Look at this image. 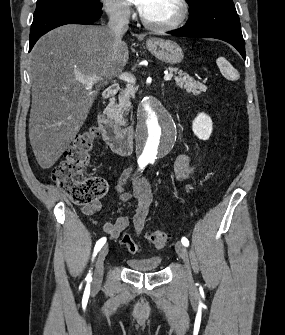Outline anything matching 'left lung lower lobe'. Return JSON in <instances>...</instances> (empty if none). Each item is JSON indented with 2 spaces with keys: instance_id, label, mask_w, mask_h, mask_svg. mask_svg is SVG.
Here are the masks:
<instances>
[{
  "instance_id": "left-lung-lower-lobe-1",
  "label": "left lung lower lobe",
  "mask_w": 285,
  "mask_h": 335,
  "mask_svg": "<svg viewBox=\"0 0 285 335\" xmlns=\"http://www.w3.org/2000/svg\"><path fill=\"white\" fill-rule=\"evenodd\" d=\"M173 36L216 38L230 43L246 58L240 20L233 3H208L190 17Z\"/></svg>"
}]
</instances>
